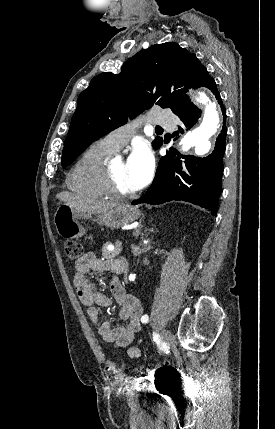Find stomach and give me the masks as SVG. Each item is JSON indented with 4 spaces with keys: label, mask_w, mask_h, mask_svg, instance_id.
<instances>
[{
    "label": "stomach",
    "mask_w": 275,
    "mask_h": 429,
    "mask_svg": "<svg viewBox=\"0 0 275 429\" xmlns=\"http://www.w3.org/2000/svg\"><path fill=\"white\" fill-rule=\"evenodd\" d=\"M140 216L139 210L130 204H121L103 213L97 214L96 220L110 228H117L129 224ZM92 219L91 214L77 212L70 206H59L54 214V225L57 233L65 238H79L86 233V229L79 220Z\"/></svg>",
    "instance_id": "1"
}]
</instances>
